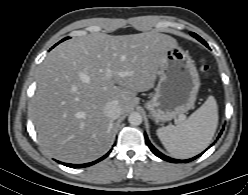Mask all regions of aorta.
<instances>
[{
    "label": "aorta",
    "instance_id": "762f6f07",
    "mask_svg": "<svg viewBox=\"0 0 248 195\" xmlns=\"http://www.w3.org/2000/svg\"><path fill=\"white\" fill-rule=\"evenodd\" d=\"M128 121L133 126H138L142 123V116L138 112H132L129 117Z\"/></svg>",
    "mask_w": 248,
    "mask_h": 195
}]
</instances>
